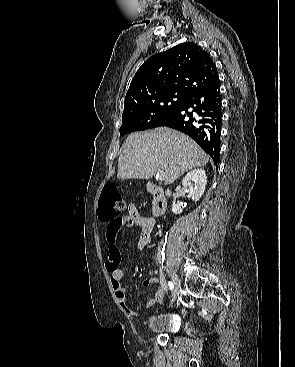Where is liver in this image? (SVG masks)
Returning a JSON list of instances; mask_svg holds the SVG:
<instances>
[{
  "instance_id": "liver-1",
  "label": "liver",
  "mask_w": 295,
  "mask_h": 367,
  "mask_svg": "<svg viewBox=\"0 0 295 367\" xmlns=\"http://www.w3.org/2000/svg\"><path fill=\"white\" fill-rule=\"evenodd\" d=\"M209 156L190 137L160 127L130 134L122 146L117 178L150 179L164 171L170 184L188 170L205 166Z\"/></svg>"
}]
</instances>
